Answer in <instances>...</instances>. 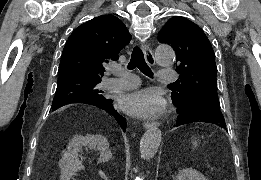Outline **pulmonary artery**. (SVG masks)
<instances>
[{"instance_id":"pulmonary-artery-1","label":"pulmonary artery","mask_w":261,"mask_h":180,"mask_svg":"<svg viewBox=\"0 0 261 180\" xmlns=\"http://www.w3.org/2000/svg\"><path fill=\"white\" fill-rule=\"evenodd\" d=\"M159 77H178V72H167V67H158ZM114 78H108L104 81L107 88L122 90L131 86L139 88L138 78L125 69H110ZM159 83H174V78H159Z\"/></svg>"}]
</instances>
